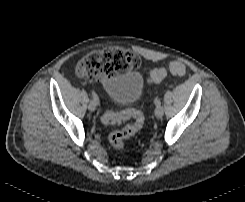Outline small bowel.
<instances>
[{"label":"small bowel","instance_id":"obj_1","mask_svg":"<svg viewBox=\"0 0 245 202\" xmlns=\"http://www.w3.org/2000/svg\"><path fill=\"white\" fill-rule=\"evenodd\" d=\"M136 64L138 65V70L147 73V81H148V83H150V84H158V83L161 81V80H156V79L154 78L153 73H154V71L156 70L155 68H153V67H151V66H147V65L141 66V65L138 63V61H137ZM104 82H105V80L103 81V83H104Z\"/></svg>","mask_w":245,"mask_h":202}]
</instances>
